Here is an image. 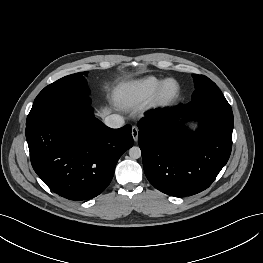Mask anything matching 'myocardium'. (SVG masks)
Wrapping results in <instances>:
<instances>
[{
    "label": "myocardium",
    "mask_w": 263,
    "mask_h": 263,
    "mask_svg": "<svg viewBox=\"0 0 263 263\" xmlns=\"http://www.w3.org/2000/svg\"><path fill=\"white\" fill-rule=\"evenodd\" d=\"M170 85H174L175 89L173 92L168 93ZM181 93L182 88L178 81L175 79H166L153 95L149 103V108L152 110L170 108L179 100Z\"/></svg>",
    "instance_id": "1"
}]
</instances>
